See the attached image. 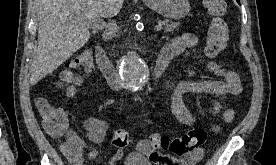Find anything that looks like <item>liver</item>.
Returning a JSON list of instances; mask_svg holds the SVG:
<instances>
[{
  "mask_svg": "<svg viewBox=\"0 0 276 165\" xmlns=\"http://www.w3.org/2000/svg\"><path fill=\"white\" fill-rule=\"evenodd\" d=\"M124 0H37L38 47L30 67L35 85L67 61L90 38L89 21L116 16Z\"/></svg>",
  "mask_w": 276,
  "mask_h": 165,
  "instance_id": "liver-1",
  "label": "liver"
}]
</instances>
